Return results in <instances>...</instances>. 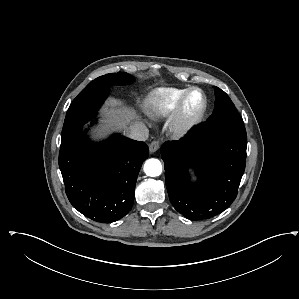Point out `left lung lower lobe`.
Here are the masks:
<instances>
[{
  "mask_svg": "<svg viewBox=\"0 0 299 299\" xmlns=\"http://www.w3.org/2000/svg\"><path fill=\"white\" fill-rule=\"evenodd\" d=\"M244 124L205 122L179 141L161 147L165 180L174 208L190 220L218 215L235 200L245 170ZM195 169L192 183L188 169Z\"/></svg>",
  "mask_w": 299,
  "mask_h": 299,
  "instance_id": "obj_1",
  "label": "left lung lower lobe"
}]
</instances>
